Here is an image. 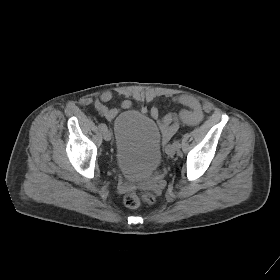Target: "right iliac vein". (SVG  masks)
<instances>
[{
	"label": "right iliac vein",
	"instance_id": "1",
	"mask_svg": "<svg viewBox=\"0 0 280 280\" xmlns=\"http://www.w3.org/2000/svg\"><path fill=\"white\" fill-rule=\"evenodd\" d=\"M103 138L106 140V141H110L111 140V133L109 130H104L103 131Z\"/></svg>",
	"mask_w": 280,
	"mask_h": 280
}]
</instances>
